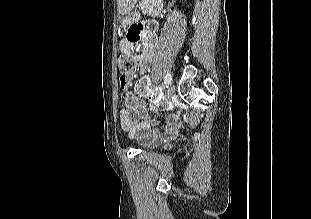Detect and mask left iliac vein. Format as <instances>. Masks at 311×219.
I'll list each match as a JSON object with an SVG mask.
<instances>
[{
  "mask_svg": "<svg viewBox=\"0 0 311 219\" xmlns=\"http://www.w3.org/2000/svg\"><path fill=\"white\" fill-rule=\"evenodd\" d=\"M174 93H175V85L171 84L166 93L167 100H170L172 96L174 95Z\"/></svg>",
  "mask_w": 311,
  "mask_h": 219,
  "instance_id": "1",
  "label": "left iliac vein"
}]
</instances>
